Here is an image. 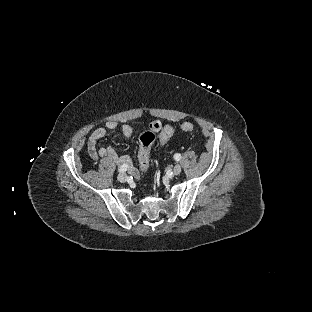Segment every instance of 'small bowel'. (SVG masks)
Masks as SVG:
<instances>
[{
    "instance_id": "obj_1",
    "label": "small bowel",
    "mask_w": 312,
    "mask_h": 312,
    "mask_svg": "<svg viewBox=\"0 0 312 312\" xmlns=\"http://www.w3.org/2000/svg\"><path fill=\"white\" fill-rule=\"evenodd\" d=\"M117 128L120 129L123 137L126 139L131 138L135 133V127L130 124L119 123L117 121H108L104 126L95 129L89 136L87 142L88 153L95 161L100 158L107 157L116 163H128L129 173L136 178L139 175V171L131 164V161L128 157L117 154V152L111 147H97L98 142L106 136L108 131H112Z\"/></svg>"
}]
</instances>
